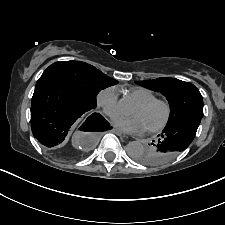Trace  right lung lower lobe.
<instances>
[{"instance_id": "98d812e1", "label": "right lung lower lobe", "mask_w": 225, "mask_h": 225, "mask_svg": "<svg viewBox=\"0 0 225 225\" xmlns=\"http://www.w3.org/2000/svg\"><path fill=\"white\" fill-rule=\"evenodd\" d=\"M92 109L94 108L61 81L40 77L32 97V133L44 147L54 149L65 140L75 121L85 112L92 113ZM89 118L93 120L91 131L111 128L98 113L91 114Z\"/></svg>"}]
</instances>
